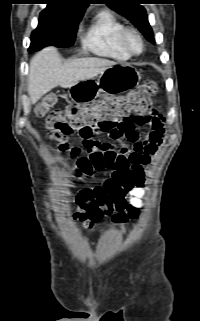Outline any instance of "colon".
<instances>
[{"mask_svg":"<svg viewBox=\"0 0 200 321\" xmlns=\"http://www.w3.org/2000/svg\"><path fill=\"white\" fill-rule=\"evenodd\" d=\"M156 93V83L146 81L124 96L103 95L93 101L71 104L64 110L53 112L50 110L57 99L54 95H47L36 105L35 114L38 117L47 115L49 138L60 151H66L67 139L75 132L82 135L95 128L109 129L122 120L153 111ZM103 169H113L112 177L101 186L82 189L77 195L78 209L74 217L87 228L99 222L104 215L122 210L126 194L139 183L128 162L123 159L115 161L112 156L100 153L79 155L76 159L78 176Z\"/></svg>","mask_w":200,"mask_h":321,"instance_id":"colon-1","label":"colon"}]
</instances>
